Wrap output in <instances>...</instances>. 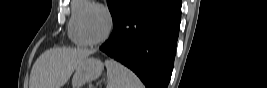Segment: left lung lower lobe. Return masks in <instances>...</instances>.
Instances as JSON below:
<instances>
[{
	"mask_svg": "<svg viewBox=\"0 0 267 88\" xmlns=\"http://www.w3.org/2000/svg\"><path fill=\"white\" fill-rule=\"evenodd\" d=\"M180 19V0H129L100 50L133 70L147 88H167Z\"/></svg>",
	"mask_w": 267,
	"mask_h": 88,
	"instance_id": "1",
	"label": "left lung lower lobe"
}]
</instances>
